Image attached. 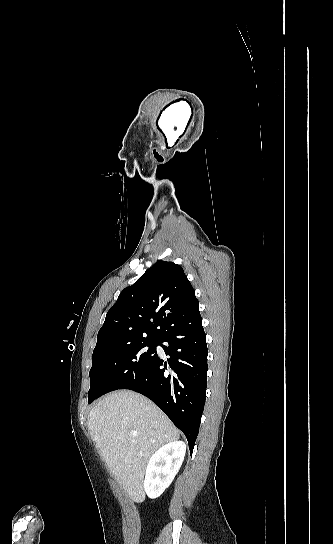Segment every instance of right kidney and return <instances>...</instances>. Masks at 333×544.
Returning <instances> with one entry per match:
<instances>
[{
  "instance_id": "obj_1",
  "label": "right kidney",
  "mask_w": 333,
  "mask_h": 544,
  "mask_svg": "<svg viewBox=\"0 0 333 544\" xmlns=\"http://www.w3.org/2000/svg\"><path fill=\"white\" fill-rule=\"evenodd\" d=\"M185 452V443L174 441L163 445L152 455L144 480V489L149 498L159 497L172 483L183 463Z\"/></svg>"
}]
</instances>
